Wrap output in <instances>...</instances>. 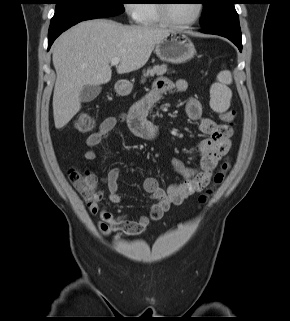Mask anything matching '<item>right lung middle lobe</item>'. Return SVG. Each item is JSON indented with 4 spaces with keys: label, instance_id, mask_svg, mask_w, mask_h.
Segmentation results:
<instances>
[{
    "label": "right lung middle lobe",
    "instance_id": "right-lung-middle-lobe-1",
    "mask_svg": "<svg viewBox=\"0 0 290 321\" xmlns=\"http://www.w3.org/2000/svg\"><path fill=\"white\" fill-rule=\"evenodd\" d=\"M124 0H55L51 24L116 16L124 12Z\"/></svg>",
    "mask_w": 290,
    "mask_h": 321
}]
</instances>
